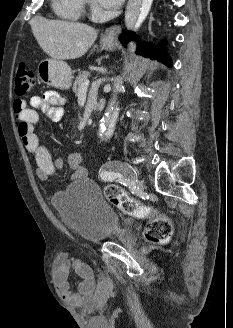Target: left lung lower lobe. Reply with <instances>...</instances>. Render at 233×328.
Masks as SVG:
<instances>
[{"instance_id":"1","label":"left lung lower lobe","mask_w":233,"mask_h":328,"mask_svg":"<svg viewBox=\"0 0 233 328\" xmlns=\"http://www.w3.org/2000/svg\"><path fill=\"white\" fill-rule=\"evenodd\" d=\"M132 38H134V36L131 32L122 33L121 36L119 37L120 41L124 46H126L127 42ZM137 54H141L151 58H158L165 65L171 67L170 66L171 60L165 55L164 46H161L156 49L151 47L150 45L141 44L137 48Z\"/></svg>"}]
</instances>
